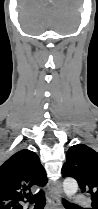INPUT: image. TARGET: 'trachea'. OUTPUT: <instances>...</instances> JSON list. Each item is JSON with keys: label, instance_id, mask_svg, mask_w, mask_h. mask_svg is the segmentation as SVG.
<instances>
[{"label": "trachea", "instance_id": "trachea-1", "mask_svg": "<svg viewBox=\"0 0 98 209\" xmlns=\"http://www.w3.org/2000/svg\"><path fill=\"white\" fill-rule=\"evenodd\" d=\"M28 201L30 203H34L35 209H44L45 207V203H46V199H45V193L41 190L40 192H38L37 194L33 195L32 197L28 198ZM63 204L67 207V206H71L73 204L69 203L67 200L63 199Z\"/></svg>", "mask_w": 98, "mask_h": 209}]
</instances>
